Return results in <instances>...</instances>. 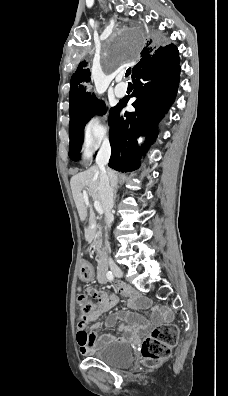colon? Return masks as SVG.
I'll use <instances>...</instances> for the list:
<instances>
[{
    "instance_id": "colon-1",
    "label": "colon",
    "mask_w": 228,
    "mask_h": 396,
    "mask_svg": "<svg viewBox=\"0 0 228 396\" xmlns=\"http://www.w3.org/2000/svg\"><path fill=\"white\" fill-rule=\"evenodd\" d=\"M77 305L80 312L79 326L85 327L92 313L97 308L95 303L85 293L77 296ZM178 339V328L173 324H162L155 327L144 339L141 345L142 363L148 367H154L165 361L176 345Z\"/></svg>"
}]
</instances>
